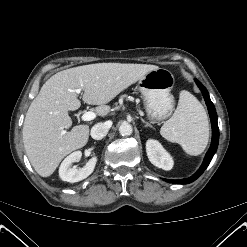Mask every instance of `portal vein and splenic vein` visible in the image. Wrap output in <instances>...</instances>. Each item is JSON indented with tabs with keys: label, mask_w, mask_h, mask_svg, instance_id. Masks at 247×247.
<instances>
[{
	"label": "portal vein and splenic vein",
	"mask_w": 247,
	"mask_h": 247,
	"mask_svg": "<svg viewBox=\"0 0 247 247\" xmlns=\"http://www.w3.org/2000/svg\"><path fill=\"white\" fill-rule=\"evenodd\" d=\"M74 92H76L77 94H79L81 92V89H75ZM96 118V114L92 111H88L83 113V115L81 116V119L83 121H91L93 119Z\"/></svg>",
	"instance_id": "obj_1"
}]
</instances>
